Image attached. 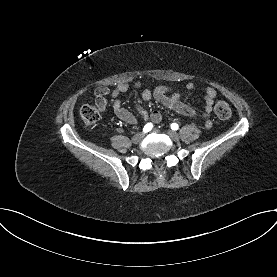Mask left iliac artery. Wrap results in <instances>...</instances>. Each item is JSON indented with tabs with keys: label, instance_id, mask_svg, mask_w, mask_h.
Returning a JSON list of instances; mask_svg holds the SVG:
<instances>
[{
	"label": "left iliac artery",
	"instance_id": "44dca946",
	"mask_svg": "<svg viewBox=\"0 0 277 277\" xmlns=\"http://www.w3.org/2000/svg\"><path fill=\"white\" fill-rule=\"evenodd\" d=\"M171 129H172V130H177V129H178V124L172 123V124H171Z\"/></svg>",
	"mask_w": 277,
	"mask_h": 277
}]
</instances>
